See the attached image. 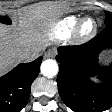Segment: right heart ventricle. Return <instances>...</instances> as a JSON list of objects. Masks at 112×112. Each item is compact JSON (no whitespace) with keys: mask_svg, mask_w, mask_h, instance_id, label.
<instances>
[{"mask_svg":"<svg viewBox=\"0 0 112 112\" xmlns=\"http://www.w3.org/2000/svg\"><path fill=\"white\" fill-rule=\"evenodd\" d=\"M80 19L77 15H69L58 20L48 29L49 39L59 41L68 37L73 33Z\"/></svg>","mask_w":112,"mask_h":112,"instance_id":"obj_1","label":"right heart ventricle"}]
</instances>
